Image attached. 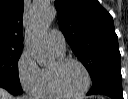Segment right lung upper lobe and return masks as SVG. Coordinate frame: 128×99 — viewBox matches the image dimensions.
Segmentation results:
<instances>
[{"label":"right lung upper lobe","mask_w":128,"mask_h":99,"mask_svg":"<svg viewBox=\"0 0 128 99\" xmlns=\"http://www.w3.org/2000/svg\"><path fill=\"white\" fill-rule=\"evenodd\" d=\"M23 0H0V46L23 48Z\"/></svg>","instance_id":"cb5924a9"}]
</instances>
